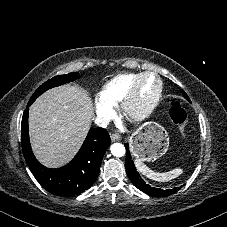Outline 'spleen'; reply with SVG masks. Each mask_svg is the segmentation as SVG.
Listing matches in <instances>:
<instances>
[{"label":"spleen","mask_w":227,"mask_h":227,"mask_svg":"<svg viewBox=\"0 0 227 227\" xmlns=\"http://www.w3.org/2000/svg\"><path fill=\"white\" fill-rule=\"evenodd\" d=\"M135 166L137 168V171L146 176L149 179L158 181V182H166L170 181L176 177H178L182 173L181 168H175L171 171L164 172V173H159L151 170L148 168L144 163H142L140 160L136 159L135 160Z\"/></svg>","instance_id":"1"}]
</instances>
